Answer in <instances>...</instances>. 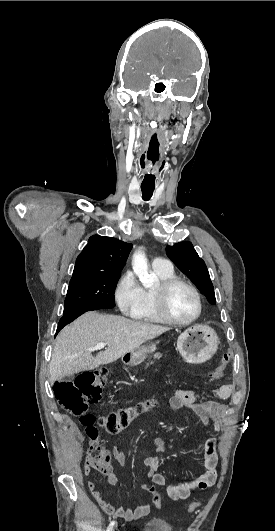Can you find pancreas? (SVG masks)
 Segmentation results:
<instances>
[{"label":"pancreas","mask_w":275,"mask_h":531,"mask_svg":"<svg viewBox=\"0 0 275 531\" xmlns=\"http://www.w3.org/2000/svg\"><path fill=\"white\" fill-rule=\"evenodd\" d=\"M162 355L161 353H155V355H153V359H161ZM148 365H152V361L151 363H147V367Z\"/></svg>","instance_id":"obj_1"}]
</instances>
